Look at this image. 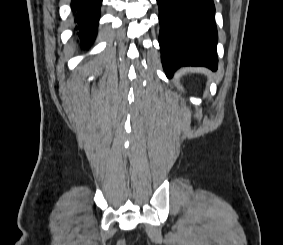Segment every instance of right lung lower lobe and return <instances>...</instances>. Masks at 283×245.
Segmentation results:
<instances>
[{"label": "right lung lower lobe", "mask_w": 283, "mask_h": 245, "mask_svg": "<svg viewBox=\"0 0 283 245\" xmlns=\"http://www.w3.org/2000/svg\"><path fill=\"white\" fill-rule=\"evenodd\" d=\"M102 0H71L75 22L79 25V38L83 46L92 43L96 36Z\"/></svg>", "instance_id": "1"}]
</instances>
